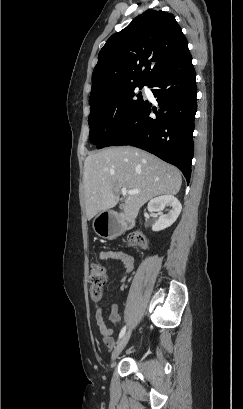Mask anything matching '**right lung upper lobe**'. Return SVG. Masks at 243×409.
I'll use <instances>...</instances> for the list:
<instances>
[{"mask_svg": "<svg viewBox=\"0 0 243 409\" xmlns=\"http://www.w3.org/2000/svg\"><path fill=\"white\" fill-rule=\"evenodd\" d=\"M170 13L147 10L112 35L92 75V103L132 84H150L188 46Z\"/></svg>", "mask_w": 243, "mask_h": 409, "instance_id": "obj_1", "label": "right lung upper lobe"}]
</instances>
